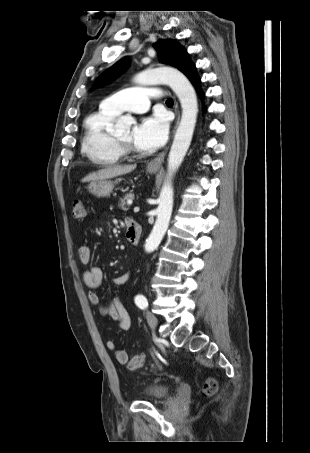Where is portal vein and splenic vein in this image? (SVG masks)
<instances>
[{"instance_id": "18ae733b", "label": "portal vein and splenic vein", "mask_w": 310, "mask_h": 453, "mask_svg": "<svg viewBox=\"0 0 310 453\" xmlns=\"http://www.w3.org/2000/svg\"><path fill=\"white\" fill-rule=\"evenodd\" d=\"M128 204H132V201L129 200ZM139 210H140L139 207H134V212H139Z\"/></svg>"}]
</instances>
